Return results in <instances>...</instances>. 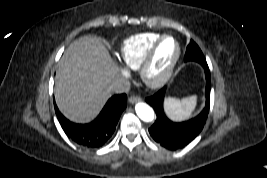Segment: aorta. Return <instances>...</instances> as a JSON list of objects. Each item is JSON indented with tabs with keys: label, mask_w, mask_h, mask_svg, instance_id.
Returning <instances> with one entry per match:
<instances>
[{
	"label": "aorta",
	"mask_w": 267,
	"mask_h": 178,
	"mask_svg": "<svg viewBox=\"0 0 267 178\" xmlns=\"http://www.w3.org/2000/svg\"><path fill=\"white\" fill-rule=\"evenodd\" d=\"M135 111L138 117L145 122H151L154 120V110L146 103H137L135 106Z\"/></svg>",
	"instance_id": "aorta-1"
}]
</instances>
